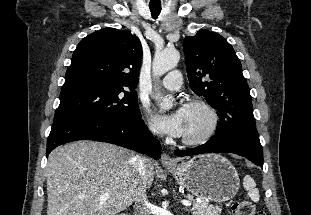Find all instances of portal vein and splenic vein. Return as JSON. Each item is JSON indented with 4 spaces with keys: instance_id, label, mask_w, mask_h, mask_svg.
I'll use <instances>...</instances> for the list:
<instances>
[{
    "instance_id": "18ae733b",
    "label": "portal vein and splenic vein",
    "mask_w": 311,
    "mask_h": 215,
    "mask_svg": "<svg viewBox=\"0 0 311 215\" xmlns=\"http://www.w3.org/2000/svg\"><path fill=\"white\" fill-rule=\"evenodd\" d=\"M109 198V194L108 193H104V194H102L101 196H100V200H107ZM182 202V204L183 205H185V206H191V202L189 201V200H186V199H184V200H182L181 201Z\"/></svg>"
}]
</instances>
